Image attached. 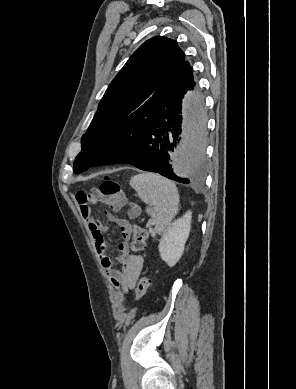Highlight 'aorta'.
Listing matches in <instances>:
<instances>
[{"mask_svg": "<svg viewBox=\"0 0 296 389\" xmlns=\"http://www.w3.org/2000/svg\"><path fill=\"white\" fill-rule=\"evenodd\" d=\"M182 99V139L174 152L172 167L176 175L187 176L207 159L205 132L202 130L205 96L203 91H184Z\"/></svg>", "mask_w": 296, "mask_h": 389, "instance_id": "aorta-1", "label": "aorta"}]
</instances>
